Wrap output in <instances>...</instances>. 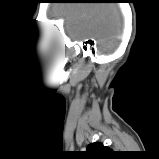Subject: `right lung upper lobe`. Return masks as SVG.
<instances>
[{
  "label": "right lung upper lobe",
  "mask_w": 159,
  "mask_h": 159,
  "mask_svg": "<svg viewBox=\"0 0 159 159\" xmlns=\"http://www.w3.org/2000/svg\"><path fill=\"white\" fill-rule=\"evenodd\" d=\"M106 152H111V150L99 142L89 144L86 151L90 156L89 159H97V157L99 159V157L103 156Z\"/></svg>",
  "instance_id": "cb5924a9"
}]
</instances>
